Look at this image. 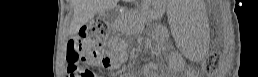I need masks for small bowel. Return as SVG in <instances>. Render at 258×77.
I'll use <instances>...</instances> for the list:
<instances>
[{
  "instance_id": "small-bowel-1",
  "label": "small bowel",
  "mask_w": 258,
  "mask_h": 77,
  "mask_svg": "<svg viewBox=\"0 0 258 77\" xmlns=\"http://www.w3.org/2000/svg\"><path fill=\"white\" fill-rule=\"evenodd\" d=\"M85 60L89 65L97 66L103 69H111L114 63L112 52H94L90 53L85 49ZM91 73H86L85 77H92Z\"/></svg>"
}]
</instances>
